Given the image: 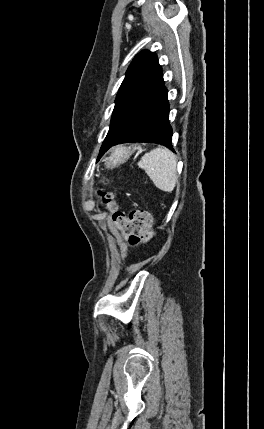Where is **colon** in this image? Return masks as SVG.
<instances>
[{
	"instance_id": "obj_1",
	"label": "colon",
	"mask_w": 264,
	"mask_h": 429,
	"mask_svg": "<svg viewBox=\"0 0 264 429\" xmlns=\"http://www.w3.org/2000/svg\"><path fill=\"white\" fill-rule=\"evenodd\" d=\"M99 195L103 203L112 210L115 225L130 234L132 245H138L150 240L153 235L152 216L148 211L134 210L129 214H125L115 209L112 193L100 192Z\"/></svg>"
}]
</instances>
